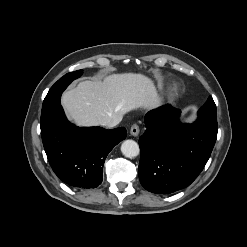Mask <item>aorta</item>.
<instances>
[{"label":"aorta","instance_id":"1","mask_svg":"<svg viewBox=\"0 0 247 247\" xmlns=\"http://www.w3.org/2000/svg\"><path fill=\"white\" fill-rule=\"evenodd\" d=\"M121 152L125 157L134 158L140 152L139 145L134 140H125L121 145Z\"/></svg>","mask_w":247,"mask_h":247}]
</instances>
